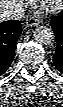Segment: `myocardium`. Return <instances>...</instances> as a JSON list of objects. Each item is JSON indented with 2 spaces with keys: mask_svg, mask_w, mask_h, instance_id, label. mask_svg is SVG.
I'll return each mask as SVG.
<instances>
[{
  "mask_svg": "<svg viewBox=\"0 0 63 107\" xmlns=\"http://www.w3.org/2000/svg\"><path fill=\"white\" fill-rule=\"evenodd\" d=\"M62 0H36L35 6L47 13H53L61 9Z\"/></svg>",
  "mask_w": 63,
  "mask_h": 107,
  "instance_id": "obj_1",
  "label": "myocardium"
}]
</instances>
